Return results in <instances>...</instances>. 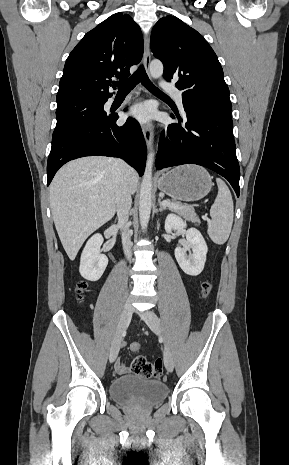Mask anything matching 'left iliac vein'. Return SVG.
Returning <instances> with one entry per match:
<instances>
[{
	"label": "left iliac vein",
	"instance_id": "obj_1",
	"mask_svg": "<svg viewBox=\"0 0 289 465\" xmlns=\"http://www.w3.org/2000/svg\"><path fill=\"white\" fill-rule=\"evenodd\" d=\"M142 319L148 325V327L156 334H162V328L160 324V319L158 316L151 310H147L141 314ZM164 364L166 369L169 372H172L174 369V359L173 355L167 345L164 348Z\"/></svg>",
	"mask_w": 289,
	"mask_h": 465
}]
</instances>
